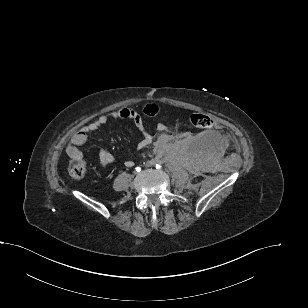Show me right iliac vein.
Listing matches in <instances>:
<instances>
[{
	"mask_svg": "<svg viewBox=\"0 0 308 308\" xmlns=\"http://www.w3.org/2000/svg\"><path fill=\"white\" fill-rule=\"evenodd\" d=\"M137 173H138L137 171H134V172H133V174H135V175H136Z\"/></svg>",
	"mask_w": 308,
	"mask_h": 308,
	"instance_id": "obj_1",
	"label": "right iliac vein"
}]
</instances>
